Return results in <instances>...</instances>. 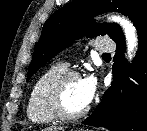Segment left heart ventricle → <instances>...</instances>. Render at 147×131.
I'll list each match as a JSON object with an SVG mask.
<instances>
[{
  "label": "left heart ventricle",
  "mask_w": 147,
  "mask_h": 131,
  "mask_svg": "<svg viewBox=\"0 0 147 131\" xmlns=\"http://www.w3.org/2000/svg\"><path fill=\"white\" fill-rule=\"evenodd\" d=\"M63 103L65 109L71 113L79 112L87 106L81 90V79H72L66 84Z\"/></svg>",
  "instance_id": "b2bd125f"
}]
</instances>
